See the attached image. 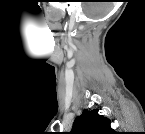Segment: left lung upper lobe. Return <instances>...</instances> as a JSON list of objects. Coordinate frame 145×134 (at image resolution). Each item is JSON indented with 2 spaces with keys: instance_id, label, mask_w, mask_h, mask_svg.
Listing matches in <instances>:
<instances>
[{
  "instance_id": "obj_1",
  "label": "left lung upper lobe",
  "mask_w": 145,
  "mask_h": 134,
  "mask_svg": "<svg viewBox=\"0 0 145 134\" xmlns=\"http://www.w3.org/2000/svg\"><path fill=\"white\" fill-rule=\"evenodd\" d=\"M110 120L98 113V110H84L72 127V134H115Z\"/></svg>"
}]
</instances>
